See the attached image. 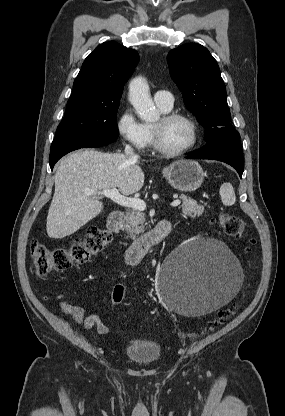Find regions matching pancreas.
I'll list each match as a JSON object with an SVG mask.
<instances>
[{
	"mask_svg": "<svg viewBox=\"0 0 285 416\" xmlns=\"http://www.w3.org/2000/svg\"><path fill=\"white\" fill-rule=\"evenodd\" d=\"M180 200H183V204L181 206L183 214L185 216H191V218H199L202 216L204 212V206H200L197 204L196 200H191V198H187L184 194H180ZM126 216H124V220L122 222V230L129 234V238H138L140 234H144L145 226V216L144 212H140V210H126Z\"/></svg>",
	"mask_w": 285,
	"mask_h": 416,
	"instance_id": "pancreas-1",
	"label": "pancreas"
}]
</instances>
